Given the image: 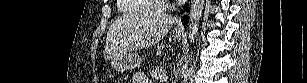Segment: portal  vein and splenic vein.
Masks as SVG:
<instances>
[{
	"instance_id": "obj_1",
	"label": "portal vein and splenic vein",
	"mask_w": 307,
	"mask_h": 83,
	"mask_svg": "<svg viewBox=\"0 0 307 83\" xmlns=\"http://www.w3.org/2000/svg\"><path fill=\"white\" fill-rule=\"evenodd\" d=\"M160 78L162 79V81H166L168 79V77L166 76H160Z\"/></svg>"
}]
</instances>
